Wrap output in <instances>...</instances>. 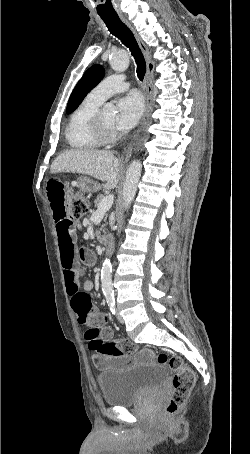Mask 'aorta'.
<instances>
[{
	"instance_id": "aorta-1",
	"label": "aorta",
	"mask_w": 250,
	"mask_h": 454,
	"mask_svg": "<svg viewBox=\"0 0 250 454\" xmlns=\"http://www.w3.org/2000/svg\"><path fill=\"white\" fill-rule=\"evenodd\" d=\"M129 55L126 50L119 49L112 54L110 59L111 68L117 72H124L129 66ZM107 109H114L110 104L105 106ZM142 164L139 160H134L128 167L123 186V205L128 209L137 191L138 182L141 176ZM112 265L110 259L106 258L101 270V287L105 298L109 301L114 299V290L111 279Z\"/></svg>"
}]
</instances>
